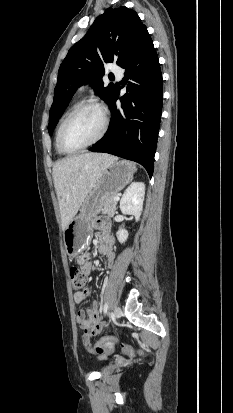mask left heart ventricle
<instances>
[{"label":"left heart ventricle","mask_w":233,"mask_h":413,"mask_svg":"<svg viewBox=\"0 0 233 413\" xmlns=\"http://www.w3.org/2000/svg\"><path fill=\"white\" fill-rule=\"evenodd\" d=\"M102 113L94 107L81 110L68 124L64 142L69 148H77L94 140L101 131Z\"/></svg>","instance_id":"b2bd125f"}]
</instances>
